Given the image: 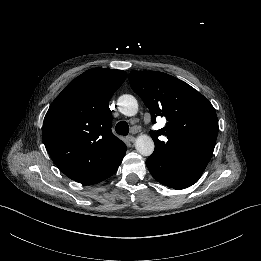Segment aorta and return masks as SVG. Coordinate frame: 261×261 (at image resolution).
Returning a JSON list of instances; mask_svg holds the SVG:
<instances>
[{
	"instance_id": "762f6f07",
	"label": "aorta",
	"mask_w": 261,
	"mask_h": 261,
	"mask_svg": "<svg viewBox=\"0 0 261 261\" xmlns=\"http://www.w3.org/2000/svg\"><path fill=\"white\" fill-rule=\"evenodd\" d=\"M117 106L124 115H134L137 112L138 104L134 96L130 94L121 95L117 99ZM136 150L142 156H150L154 151V142L148 136H140L135 143Z\"/></svg>"
}]
</instances>
